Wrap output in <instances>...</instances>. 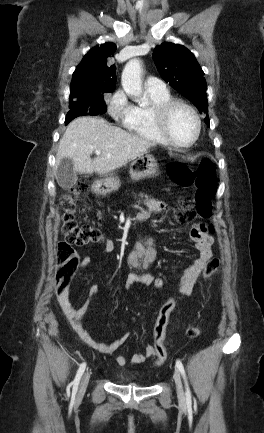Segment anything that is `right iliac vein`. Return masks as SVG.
Returning a JSON list of instances; mask_svg holds the SVG:
<instances>
[{
	"label": "right iliac vein",
	"instance_id": "63e3f726",
	"mask_svg": "<svg viewBox=\"0 0 264 433\" xmlns=\"http://www.w3.org/2000/svg\"><path fill=\"white\" fill-rule=\"evenodd\" d=\"M90 371L88 370V371H86L85 373H84V375L82 376V379H81V381H80V384H79V388H78V393H77V397L78 398H80V397H82L83 395H84V393H85V391H86V388H87V386H88V383H89V379H90Z\"/></svg>",
	"mask_w": 264,
	"mask_h": 433
}]
</instances>
